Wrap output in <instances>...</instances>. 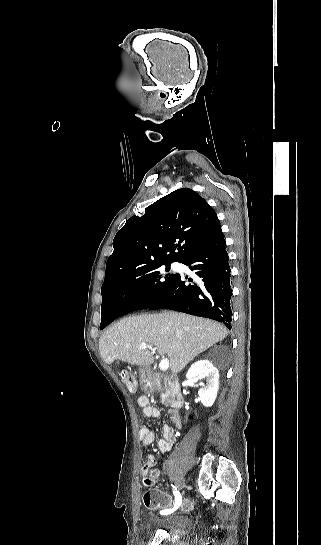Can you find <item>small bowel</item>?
<instances>
[{"label": "small bowel", "mask_w": 321, "mask_h": 545, "mask_svg": "<svg viewBox=\"0 0 321 545\" xmlns=\"http://www.w3.org/2000/svg\"><path fill=\"white\" fill-rule=\"evenodd\" d=\"M138 405L142 408L143 414L146 417L156 418L160 416V411L152 406L149 399L145 395H141L137 399ZM176 436V429L166 425L162 430V438L158 441V449L162 453H166L171 450ZM156 434L153 430L143 425L139 430V439L143 446H148L155 441ZM146 462L142 468V475L144 478H149L151 483L157 482L160 476L159 470L155 467L156 458L152 454H146Z\"/></svg>", "instance_id": "1"}]
</instances>
